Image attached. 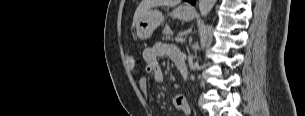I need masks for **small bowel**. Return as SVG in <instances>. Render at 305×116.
<instances>
[{"label": "small bowel", "mask_w": 305, "mask_h": 116, "mask_svg": "<svg viewBox=\"0 0 305 116\" xmlns=\"http://www.w3.org/2000/svg\"><path fill=\"white\" fill-rule=\"evenodd\" d=\"M180 56H182V53L176 46L164 42H158L152 47L145 49L143 52V58L146 65L145 70L153 76V79L156 82H161L164 79V72L160 64V58L168 57L175 62ZM138 86L143 95L147 97L148 85L144 75L138 77ZM173 105L176 109L180 110L183 115H190V108L184 96H174Z\"/></svg>", "instance_id": "small-bowel-1"}]
</instances>
